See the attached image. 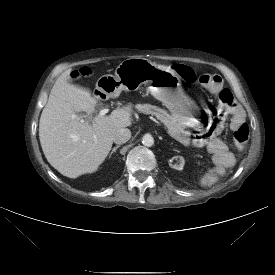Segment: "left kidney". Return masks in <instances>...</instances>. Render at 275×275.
Masks as SVG:
<instances>
[{
    "label": "left kidney",
    "instance_id": "5707ae66",
    "mask_svg": "<svg viewBox=\"0 0 275 275\" xmlns=\"http://www.w3.org/2000/svg\"><path fill=\"white\" fill-rule=\"evenodd\" d=\"M179 159V164H178V160ZM169 165L171 168H174L176 170H182L183 167H184V158L179 156V157H174V158H171L169 160Z\"/></svg>",
    "mask_w": 275,
    "mask_h": 275
}]
</instances>
